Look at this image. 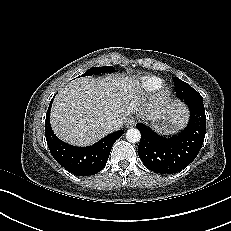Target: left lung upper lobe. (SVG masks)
Returning a JSON list of instances; mask_svg holds the SVG:
<instances>
[{
  "mask_svg": "<svg viewBox=\"0 0 231 231\" xmlns=\"http://www.w3.org/2000/svg\"><path fill=\"white\" fill-rule=\"evenodd\" d=\"M176 88V95L179 99L186 100V99H203V97L193 89L188 83L180 80L177 77L173 78Z\"/></svg>",
  "mask_w": 231,
  "mask_h": 231,
  "instance_id": "obj_1",
  "label": "left lung upper lobe"
}]
</instances>
